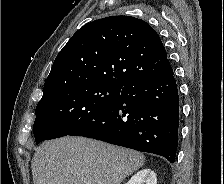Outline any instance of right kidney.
<instances>
[{"mask_svg":"<svg viewBox=\"0 0 224 184\" xmlns=\"http://www.w3.org/2000/svg\"><path fill=\"white\" fill-rule=\"evenodd\" d=\"M126 184H157L156 174L150 169L137 172Z\"/></svg>","mask_w":224,"mask_h":184,"instance_id":"ca27d5eb","label":"right kidney"}]
</instances>
